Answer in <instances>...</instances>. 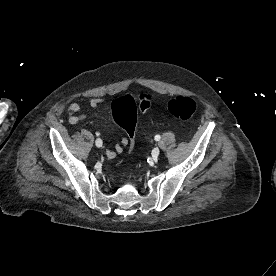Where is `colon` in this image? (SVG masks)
I'll use <instances>...</instances> for the list:
<instances>
[{
  "instance_id": "5ec220e1",
  "label": "colon",
  "mask_w": 276,
  "mask_h": 276,
  "mask_svg": "<svg viewBox=\"0 0 276 276\" xmlns=\"http://www.w3.org/2000/svg\"><path fill=\"white\" fill-rule=\"evenodd\" d=\"M151 101L150 94H142L138 101L130 95H124L111 103L112 117L126 131L130 148L134 145L137 113L147 111ZM167 108L174 117L188 120L196 110V103L189 97L176 96L169 100Z\"/></svg>"
}]
</instances>
